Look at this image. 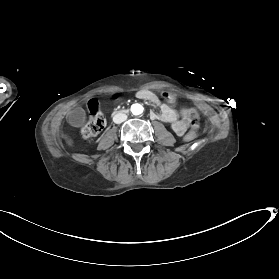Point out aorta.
I'll use <instances>...</instances> for the list:
<instances>
[{
	"instance_id": "obj_1",
	"label": "aorta",
	"mask_w": 279,
	"mask_h": 279,
	"mask_svg": "<svg viewBox=\"0 0 279 279\" xmlns=\"http://www.w3.org/2000/svg\"><path fill=\"white\" fill-rule=\"evenodd\" d=\"M143 106L142 105H140V104H133L132 106H131V112H132V114H134V115H139V114H141L142 112H143Z\"/></svg>"
}]
</instances>
